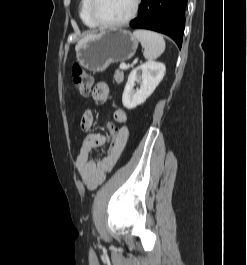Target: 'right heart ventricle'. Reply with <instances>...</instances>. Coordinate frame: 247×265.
<instances>
[{
  "instance_id": "e07e8e85",
  "label": "right heart ventricle",
  "mask_w": 247,
  "mask_h": 265,
  "mask_svg": "<svg viewBox=\"0 0 247 265\" xmlns=\"http://www.w3.org/2000/svg\"><path fill=\"white\" fill-rule=\"evenodd\" d=\"M89 5L90 0H80L79 3V15L82 20V22L91 29H94L97 27V25L93 22L91 19L90 13H89Z\"/></svg>"
}]
</instances>
